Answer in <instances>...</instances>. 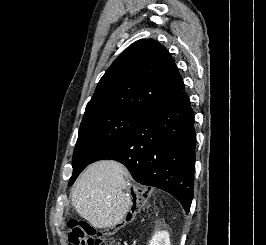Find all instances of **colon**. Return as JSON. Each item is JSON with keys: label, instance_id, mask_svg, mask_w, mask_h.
<instances>
[{"label": "colon", "instance_id": "1", "mask_svg": "<svg viewBox=\"0 0 266 245\" xmlns=\"http://www.w3.org/2000/svg\"><path fill=\"white\" fill-rule=\"evenodd\" d=\"M67 238L68 245H120L111 237H107V232L96 233L88 222L79 223L76 219L67 223Z\"/></svg>", "mask_w": 266, "mask_h": 245}]
</instances>
